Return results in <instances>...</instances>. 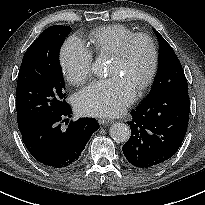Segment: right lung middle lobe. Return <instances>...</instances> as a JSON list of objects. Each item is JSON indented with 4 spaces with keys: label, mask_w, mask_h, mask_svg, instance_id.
I'll return each mask as SVG.
<instances>
[{
    "label": "right lung middle lobe",
    "mask_w": 205,
    "mask_h": 205,
    "mask_svg": "<svg viewBox=\"0 0 205 205\" xmlns=\"http://www.w3.org/2000/svg\"><path fill=\"white\" fill-rule=\"evenodd\" d=\"M70 31L68 26L55 25L47 28L23 57L16 89L20 132L46 115L61 111L67 106L58 56Z\"/></svg>",
    "instance_id": "obj_1"
}]
</instances>
